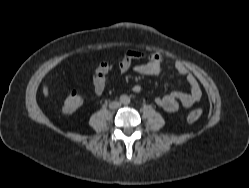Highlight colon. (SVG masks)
I'll return each instance as SVG.
<instances>
[{"label":"colon","instance_id":"colon-1","mask_svg":"<svg viewBox=\"0 0 249 188\" xmlns=\"http://www.w3.org/2000/svg\"><path fill=\"white\" fill-rule=\"evenodd\" d=\"M83 102L84 97L78 92L73 91L64 98L62 102V110L66 113L72 112L79 108L83 104ZM201 115L202 111L200 109H195L187 115V121L189 123H194L200 119Z\"/></svg>","mask_w":249,"mask_h":188}]
</instances>
